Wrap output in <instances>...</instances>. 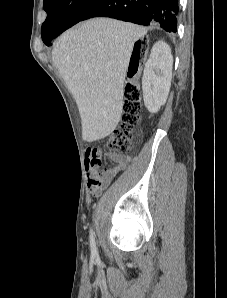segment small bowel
<instances>
[{"instance_id":"c3829d8e","label":"small bowel","mask_w":227,"mask_h":298,"mask_svg":"<svg viewBox=\"0 0 227 298\" xmlns=\"http://www.w3.org/2000/svg\"><path fill=\"white\" fill-rule=\"evenodd\" d=\"M114 164L102 171H98L100 166V158L102 152L99 150V146H88V150L84 153L85 164L89 169L88 174V185L93 194H99L100 191L108 184L109 180L112 179L118 172L124 170L129 162L127 156L119 154L109 155ZM94 181H99L100 185L97 187L91 186Z\"/></svg>"}]
</instances>
